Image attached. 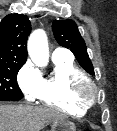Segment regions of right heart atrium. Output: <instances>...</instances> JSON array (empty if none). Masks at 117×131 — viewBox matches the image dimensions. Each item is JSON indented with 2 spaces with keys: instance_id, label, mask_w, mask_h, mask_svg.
<instances>
[{
  "instance_id": "d8ad5b80",
  "label": "right heart atrium",
  "mask_w": 117,
  "mask_h": 131,
  "mask_svg": "<svg viewBox=\"0 0 117 131\" xmlns=\"http://www.w3.org/2000/svg\"><path fill=\"white\" fill-rule=\"evenodd\" d=\"M17 81L20 89L28 100L37 98L42 84V75L31 62L25 63L20 69Z\"/></svg>"
}]
</instances>
